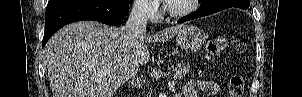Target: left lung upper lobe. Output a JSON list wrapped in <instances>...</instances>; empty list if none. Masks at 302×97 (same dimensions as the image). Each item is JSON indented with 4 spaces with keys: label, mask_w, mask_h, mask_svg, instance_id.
Masks as SVG:
<instances>
[{
    "label": "left lung upper lobe",
    "mask_w": 302,
    "mask_h": 97,
    "mask_svg": "<svg viewBox=\"0 0 302 97\" xmlns=\"http://www.w3.org/2000/svg\"><path fill=\"white\" fill-rule=\"evenodd\" d=\"M212 1L213 0H201V5L210 4ZM248 1L249 0H218L212 5H214L215 8L226 9L229 7H241L243 5L242 2H248Z\"/></svg>",
    "instance_id": "obj_1"
}]
</instances>
